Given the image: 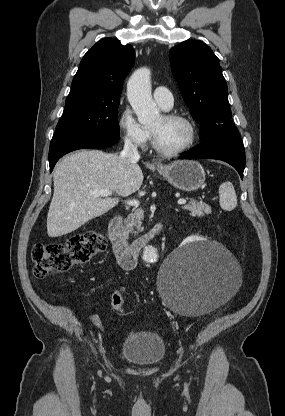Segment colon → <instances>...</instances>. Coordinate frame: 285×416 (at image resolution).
I'll return each instance as SVG.
<instances>
[{
    "label": "colon",
    "instance_id": "obj_1",
    "mask_svg": "<svg viewBox=\"0 0 285 416\" xmlns=\"http://www.w3.org/2000/svg\"><path fill=\"white\" fill-rule=\"evenodd\" d=\"M106 246V237L94 229L74 235L64 243L35 244L31 251L34 275L44 278L50 274L64 273L74 266L84 265L93 256L104 251ZM123 304L121 293L114 292L111 299L112 309L120 312Z\"/></svg>",
    "mask_w": 285,
    "mask_h": 416
}]
</instances>
